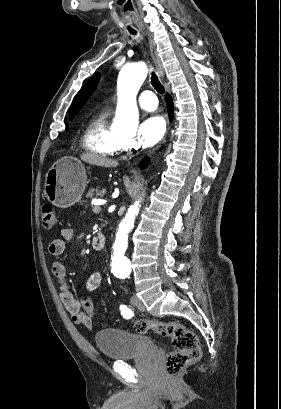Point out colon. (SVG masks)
Returning <instances> with one entry per match:
<instances>
[{
  "mask_svg": "<svg viewBox=\"0 0 281 409\" xmlns=\"http://www.w3.org/2000/svg\"><path fill=\"white\" fill-rule=\"evenodd\" d=\"M41 217L44 228L57 225V213L51 204L41 206ZM134 328L140 332H153L171 338L174 351L169 352L164 360L166 373H177L200 357L196 334L189 328L176 323L137 320Z\"/></svg>",
  "mask_w": 281,
  "mask_h": 409,
  "instance_id": "5ec220e1",
  "label": "colon"
}]
</instances>
